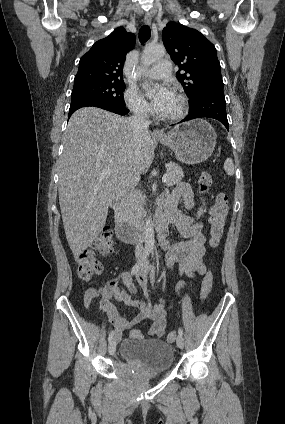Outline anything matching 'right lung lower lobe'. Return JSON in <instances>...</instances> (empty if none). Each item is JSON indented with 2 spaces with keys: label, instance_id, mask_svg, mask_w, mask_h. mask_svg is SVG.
Returning a JSON list of instances; mask_svg holds the SVG:
<instances>
[{
  "label": "right lung lower lobe",
  "instance_id": "right-lung-lower-lobe-1",
  "mask_svg": "<svg viewBox=\"0 0 285 424\" xmlns=\"http://www.w3.org/2000/svg\"><path fill=\"white\" fill-rule=\"evenodd\" d=\"M89 106L102 108L119 115H125L129 112L127 108L125 107V105L121 106V105L111 103L109 101L94 99V98H77V99L71 100L70 109H69V118L77 109L82 107H89Z\"/></svg>",
  "mask_w": 285,
  "mask_h": 424
}]
</instances>
